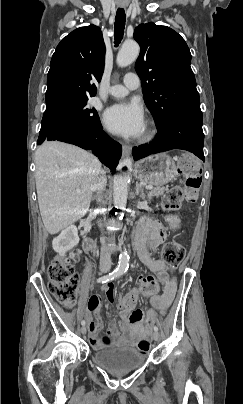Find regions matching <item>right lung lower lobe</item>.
Returning a JSON list of instances; mask_svg holds the SVG:
<instances>
[{"mask_svg": "<svg viewBox=\"0 0 243 404\" xmlns=\"http://www.w3.org/2000/svg\"><path fill=\"white\" fill-rule=\"evenodd\" d=\"M58 140L91 150L100 161L112 171L118 165L122 146L113 141L103 130L102 126L65 123L58 126L45 141Z\"/></svg>", "mask_w": 243, "mask_h": 404, "instance_id": "obj_1", "label": "right lung lower lobe"}]
</instances>
